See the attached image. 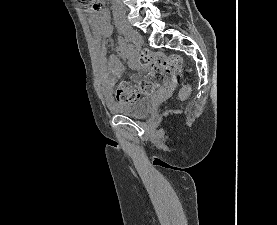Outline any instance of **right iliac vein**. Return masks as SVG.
Returning a JSON list of instances; mask_svg holds the SVG:
<instances>
[{"label": "right iliac vein", "mask_w": 277, "mask_h": 225, "mask_svg": "<svg viewBox=\"0 0 277 225\" xmlns=\"http://www.w3.org/2000/svg\"><path fill=\"white\" fill-rule=\"evenodd\" d=\"M120 31L126 38L131 40L135 45L143 44V38L136 30L125 27V28H121Z\"/></svg>", "instance_id": "right-iliac-vein-1"}]
</instances>
